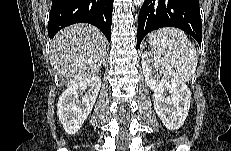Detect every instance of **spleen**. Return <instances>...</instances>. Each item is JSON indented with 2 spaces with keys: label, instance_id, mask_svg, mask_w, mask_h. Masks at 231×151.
<instances>
[{
  "label": "spleen",
  "instance_id": "3e777b00",
  "mask_svg": "<svg viewBox=\"0 0 231 151\" xmlns=\"http://www.w3.org/2000/svg\"><path fill=\"white\" fill-rule=\"evenodd\" d=\"M149 45L151 51L174 69L181 80H191L197 68L198 55L184 32L170 27L156 30L149 35Z\"/></svg>",
  "mask_w": 231,
  "mask_h": 151
}]
</instances>
